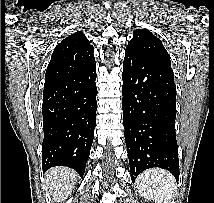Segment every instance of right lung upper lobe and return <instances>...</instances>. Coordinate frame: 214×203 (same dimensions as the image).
Listing matches in <instances>:
<instances>
[{
    "label": "right lung upper lobe",
    "mask_w": 214,
    "mask_h": 203,
    "mask_svg": "<svg viewBox=\"0 0 214 203\" xmlns=\"http://www.w3.org/2000/svg\"><path fill=\"white\" fill-rule=\"evenodd\" d=\"M94 48L81 31L66 37L52 53L44 86L76 75L95 64Z\"/></svg>",
    "instance_id": "1"
}]
</instances>
